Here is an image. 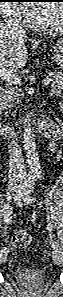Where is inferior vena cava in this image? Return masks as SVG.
Segmentation results:
<instances>
[{
  "instance_id": "obj_1",
  "label": "inferior vena cava",
  "mask_w": 63,
  "mask_h": 297,
  "mask_svg": "<svg viewBox=\"0 0 63 297\" xmlns=\"http://www.w3.org/2000/svg\"><path fill=\"white\" fill-rule=\"evenodd\" d=\"M1 32H10V33H14L16 36L25 37V32L23 31L18 19L8 17V16L3 18V21L1 23ZM8 140H9L10 164L12 167H16L18 171H22L18 137L12 129L9 133Z\"/></svg>"
}]
</instances>
